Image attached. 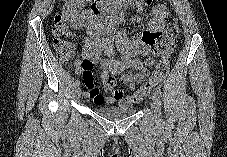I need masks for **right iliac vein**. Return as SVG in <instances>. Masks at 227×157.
<instances>
[{
    "label": "right iliac vein",
    "mask_w": 227,
    "mask_h": 157,
    "mask_svg": "<svg viewBox=\"0 0 227 157\" xmlns=\"http://www.w3.org/2000/svg\"><path fill=\"white\" fill-rule=\"evenodd\" d=\"M74 95H75V97H76L77 99L80 98V96H81V89H80V87H75Z\"/></svg>",
    "instance_id": "63e3f726"
}]
</instances>
